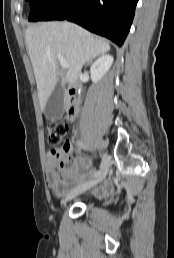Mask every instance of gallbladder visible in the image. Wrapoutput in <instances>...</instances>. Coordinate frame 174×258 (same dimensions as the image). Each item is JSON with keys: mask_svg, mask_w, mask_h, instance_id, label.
Returning <instances> with one entry per match:
<instances>
[{"mask_svg": "<svg viewBox=\"0 0 174 258\" xmlns=\"http://www.w3.org/2000/svg\"><path fill=\"white\" fill-rule=\"evenodd\" d=\"M64 111V89L61 82H58L48 98L44 108V115L49 121H57L62 118Z\"/></svg>", "mask_w": 174, "mask_h": 258, "instance_id": "gallbladder-1", "label": "gallbladder"}]
</instances>
